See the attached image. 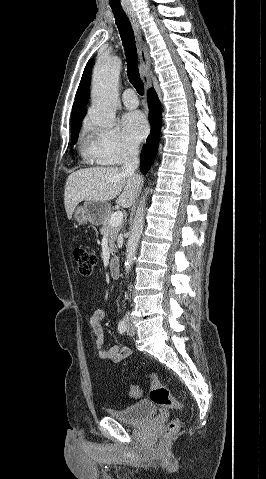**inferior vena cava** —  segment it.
<instances>
[{
	"label": "inferior vena cava",
	"mask_w": 266,
	"mask_h": 479,
	"mask_svg": "<svg viewBox=\"0 0 266 479\" xmlns=\"http://www.w3.org/2000/svg\"><path fill=\"white\" fill-rule=\"evenodd\" d=\"M139 152L134 145H129L124 153L122 171L126 174L134 175L139 167Z\"/></svg>",
	"instance_id": "inferior-vena-cava-1"
}]
</instances>
